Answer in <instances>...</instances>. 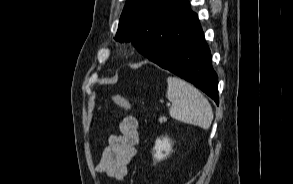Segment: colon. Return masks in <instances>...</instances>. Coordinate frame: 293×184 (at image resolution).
<instances>
[{
  "mask_svg": "<svg viewBox=\"0 0 293 184\" xmlns=\"http://www.w3.org/2000/svg\"><path fill=\"white\" fill-rule=\"evenodd\" d=\"M111 99L112 101L119 107L125 109V110H131L132 109V105L129 102L128 99H126L125 97H123L120 94L117 93H112L111 94Z\"/></svg>",
  "mask_w": 293,
  "mask_h": 184,
  "instance_id": "colon-1",
  "label": "colon"
}]
</instances>
